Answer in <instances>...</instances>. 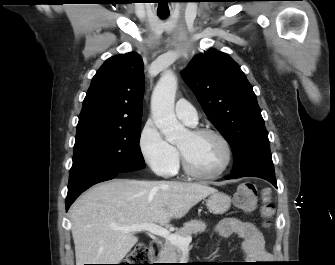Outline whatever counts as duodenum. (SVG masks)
Listing matches in <instances>:
<instances>
[{"label": "duodenum", "mask_w": 335, "mask_h": 265, "mask_svg": "<svg viewBox=\"0 0 335 265\" xmlns=\"http://www.w3.org/2000/svg\"><path fill=\"white\" fill-rule=\"evenodd\" d=\"M162 250V242L155 240L150 244V254L152 262H156Z\"/></svg>", "instance_id": "410a0bca"}]
</instances>
